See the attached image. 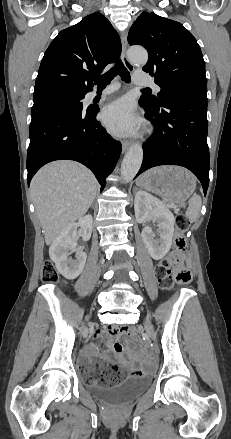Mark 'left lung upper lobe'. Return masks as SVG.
<instances>
[{"mask_svg": "<svg viewBox=\"0 0 231 439\" xmlns=\"http://www.w3.org/2000/svg\"><path fill=\"white\" fill-rule=\"evenodd\" d=\"M128 43L147 49L149 59L143 70L153 75L155 83L161 87L158 97L141 96L145 102L157 105L173 92L207 93L201 49L181 23L143 12L129 31Z\"/></svg>", "mask_w": 231, "mask_h": 439, "instance_id": "obj_1", "label": "left lung upper lobe"}]
</instances>
